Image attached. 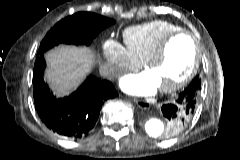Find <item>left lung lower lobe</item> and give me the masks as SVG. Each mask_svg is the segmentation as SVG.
<instances>
[{"label":"left lung lower lobe","instance_id":"1","mask_svg":"<svg viewBox=\"0 0 240 160\" xmlns=\"http://www.w3.org/2000/svg\"><path fill=\"white\" fill-rule=\"evenodd\" d=\"M198 92L196 91L194 84H190L179 94L173 103L164 104L162 106L163 115L169 121L173 122L174 125L187 123L195 112L198 101ZM169 131L170 133L178 132L172 131L171 129Z\"/></svg>","mask_w":240,"mask_h":160}]
</instances>
